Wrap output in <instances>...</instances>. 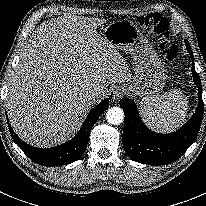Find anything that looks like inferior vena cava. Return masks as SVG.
Returning <instances> with one entry per match:
<instances>
[{
    "label": "inferior vena cava",
    "mask_w": 206,
    "mask_h": 206,
    "mask_svg": "<svg viewBox=\"0 0 206 206\" xmlns=\"http://www.w3.org/2000/svg\"><path fill=\"white\" fill-rule=\"evenodd\" d=\"M102 94L98 92H93L90 96L89 99L93 102H98L102 99Z\"/></svg>",
    "instance_id": "602c4592"
}]
</instances>
